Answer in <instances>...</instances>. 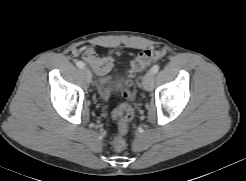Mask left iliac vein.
<instances>
[{
  "label": "left iliac vein",
  "mask_w": 246,
  "mask_h": 181,
  "mask_svg": "<svg viewBox=\"0 0 246 181\" xmlns=\"http://www.w3.org/2000/svg\"><path fill=\"white\" fill-rule=\"evenodd\" d=\"M153 81H154V73L152 71H148L142 81L143 89L147 91L151 90L153 87Z\"/></svg>",
  "instance_id": "4c4485c4"
}]
</instances>
